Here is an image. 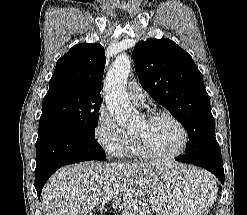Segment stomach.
Returning a JSON list of instances; mask_svg holds the SVG:
<instances>
[{"label": "stomach", "mask_w": 247, "mask_h": 215, "mask_svg": "<svg viewBox=\"0 0 247 215\" xmlns=\"http://www.w3.org/2000/svg\"><path fill=\"white\" fill-rule=\"evenodd\" d=\"M216 183L206 172L171 168L151 189L149 202L156 215H202L213 203Z\"/></svg>", "instance_id": "stomach-1"}]
</instances>
